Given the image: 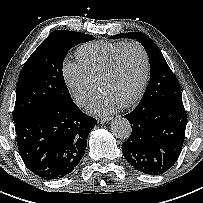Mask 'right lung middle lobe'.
Wrapping results in <instances>:
<instances>
[{
  "mask_svg": "<svg viewBox=\"0 0 203 203\" xmlns=\"http://www.w3.org/2000/svg\"><path fill=\"white\" fill-rule=\"evenodd\" d=\"M92 35L56 30L31 54L18 79L14 122L37 111L73 101L62 67L70 48L93 40Z\"/></svg>",
  "mask_w": 203,
  "mask_h": 203,
  "instance_id": "1",
  "label": "right lung middle lobe"
}]
</instances>
